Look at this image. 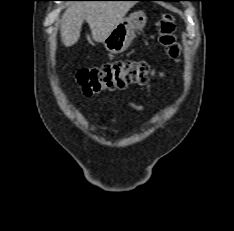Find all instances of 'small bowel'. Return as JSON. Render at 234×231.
<instances>
[{
	"label": "small bowel",
	"instance_id": "1",
	"mask_svg": "<svg viewBox=\"0 0 234 231\" xmlns=\"http://www.w3.org/2000/svg\"><path fill=\"white\" fill-rule=\"evenodd\" d=\"M129 107H131L132 109H134L135 111H138V112H141L144 109L143 106H141V105H139L137 103H134V102L129 103ZM114 124H115V121L112 120L110 122V124L104 125L102 128L104 130H108L109 128H111L112 126H114Z\"/></svg>",
	"mask_w": 234,
	"mask_h": 231
}]
</instances>
